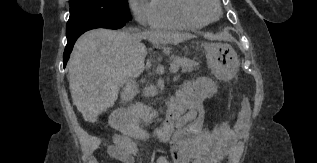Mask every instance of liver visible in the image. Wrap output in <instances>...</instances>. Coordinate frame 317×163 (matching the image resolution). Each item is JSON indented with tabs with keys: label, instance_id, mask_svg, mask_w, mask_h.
<instances>
[{
	"label": "liver",
	"instance_id": "6515ba94",
	"mask_svg": "<svg viewBox=\"0 0 317 163\" xmlns=\"http://www.w3.org/2000/svg\"><path fill=\"white\" fill-rule=\"evenodd\" d=\"M194 38L189 33L134 29L113 31L94 29L76 42L68 63V81L73 104L85 121L114 106L120 87L140 76L145 68L147 49L142 40L154 46L179 44Z\"/></svg>",
	"mask_w": 317,
	"mask_h": 163
}]
</instances>
